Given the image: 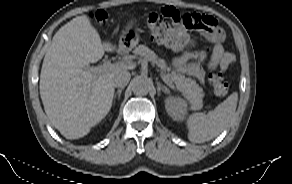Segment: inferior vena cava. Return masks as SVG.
Returning a JSON list of instances; mask_svg holds the SVG:
<instances>
[{
  "mask_svg": "<svg viewBox=\"0 0 292 184\" xmlns=\"http://www.w3.org/2000/svg\"><path fill=\"white\" fill-rule=\"evenodd\" d=\"M131 75L127 71L120 72L114 77V86L124 88L130 81Z\"/></svg>",
  "mask_w": 292,
  "mask_h": 184,
  "instance_id": "1",
  "label": "inferior vena cava"
}]
</instances>
